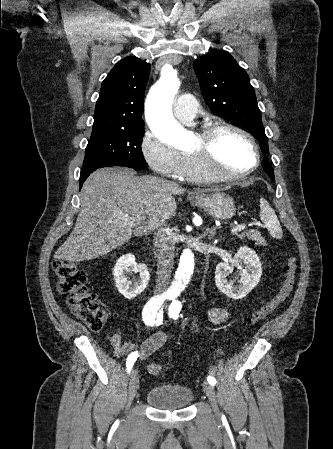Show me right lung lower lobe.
<instances>
[{"mask_svg": "<svg viewBox=\"0 0 333 449\" xmlns=\"http://www.w3.org/2000/svg\"><path fill=\"white\" fill-rule=\"evenodd\" d=\"M143 169H146V168H143ZM95 170H96V169H82V170H81L80 181H79V183H80V188L82 187L83 182L87 179V177H88L93 171H95Z\"/></svg>", "mask_w": 333, "mask_h": 449, "instance_id": "98d812e1", "label": "right lung lower lobe"}]
</instances>
